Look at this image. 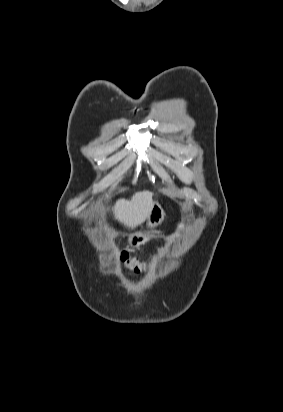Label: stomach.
<instances>
[{"label":"stomach","mask_w":283,"mask_h":412,"mask_svg":"<svg viewBox=\"0 0 283 412\" xmlns=\"http://www.w3.org/2000/svg\"><path fill=\"white\" fill-rule=\"evenodd\" d=\"M165 217V212L161 204L158 202L153 203V207L150 211L147 225L151 229L150 232H136L129 236L128 244L132 248H137L140 245L147 243L152 238L154 228L160 225Z\"/></svg>","instance_id":"1"}]
</instances>
